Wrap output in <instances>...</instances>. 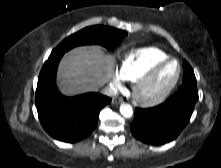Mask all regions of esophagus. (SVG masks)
Instances as JSON below:
<instances>
[{
	"label": "esophagus",
	"mask_w": 221,
	"mask_h": 168,
	"mask_svg": "<svg viewBox=\"0 0 221 168\" xmlns=\"http://www.w3.org/2000/svg\"><path fill=\"white\" fill-rule=\"evenodd\" d=\"M122 102H123V99H122V98L116 97V98H113V99H112V103H113V104H120V103H122Z\"/></svg>",
	"instance_id": "esophagus-1"
}]
</instances>
